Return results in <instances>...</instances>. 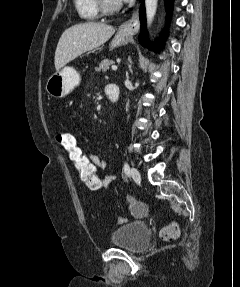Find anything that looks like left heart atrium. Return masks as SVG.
I'll return each mask as SVG.
<instances>
[{
	"label": "left heart atrium",
	"mask_w": 240,
	"mask_h": 287,
	"mask_svg": "<svg viewBox=\"0 0 240 287\" xmlns=\"http://www.w3.org/2000/svg\"><path fill=\"white\" fill-rule=\"evenodd\" d=\"M130 0H117V2H128Z\"/></svg>",
	"instance_id": "1"
}]
</instances>
